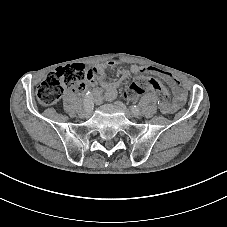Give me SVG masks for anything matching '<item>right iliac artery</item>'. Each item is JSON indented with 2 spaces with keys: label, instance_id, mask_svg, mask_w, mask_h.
I'll return each instance as SVG.
<instances>
[{
  "label": "right iliac artery",
  "instance_id": "obj_1",
  "mask_svg": "<svg viewBox=\"0 0 227 227\" xmlns=\"http://www.w3.org/2000/svg\"><path fill=\"white\" fill-rule=\"evenodd\" d=\"M83 107L87 111L91 110L93 107V95L89 91L86 92V94H85L84 101H83Z\"/></svg>",
  "mask_w": 227,
  "mask_h": 227
}]
</instances>
